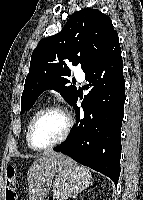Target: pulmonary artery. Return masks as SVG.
Returning a JSON list of instances; mask_svg holds the SVG:
<instances>
[{"mask_svg":"<svg viewBox=\"0 0 143 200\" xmlns=\"http://www.w3.org/2000/svg\"><path fill=\"white\" fill-rule=\"evenodd\" d=\"M74 76L80 82L84 81V79H85V74L82 70H76L74 72Z\"/></svg>","mask_w":143,"mask_h":200,"instance_id":"obj_1","label":"pulmonary artery"}]
</instances>
